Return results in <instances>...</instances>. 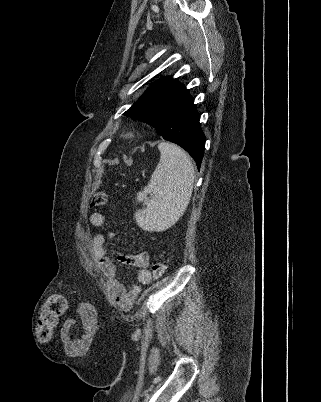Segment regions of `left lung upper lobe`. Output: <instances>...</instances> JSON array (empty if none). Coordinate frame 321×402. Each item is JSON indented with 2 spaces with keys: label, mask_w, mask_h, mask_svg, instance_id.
<instances>
[{
  "label": "left lung upper lobe",
  "mask_w": 321,
  "mask_h": 402,
  "mask_svg": "<svg viewBox=\"0 0 321 402\" xmlns=\"http://www.w3.org/2000/svg\"><path fill=\"white\" fill-rule=\"evenodd\" d=\"M177 85H179V82L170 77H165L153 83L124 115L154 127L161 104Z\"/></svg>",
  "instance_id": "1"
}]
</instances>
